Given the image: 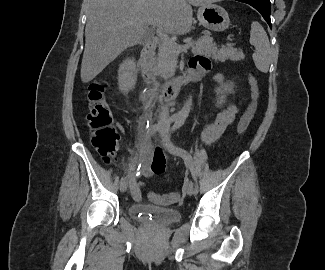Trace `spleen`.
<instances>
[{"instance_id":"obj_1","label":"spleen","mask_w":325,"mask_h":270,"mask_svg":"<svg viewBox=\"0 0 325 270\" xmlns=\"http://www.w3.org/2000/svg\"><path fill=\"white\" fill-rule=\"evenodd\" d=\"M249 41L255 47L253 54L255 66L259 71L267 73L271 61V48L267 33L257 21H253L251 24Z\"/></svg>"}]
</instances>
